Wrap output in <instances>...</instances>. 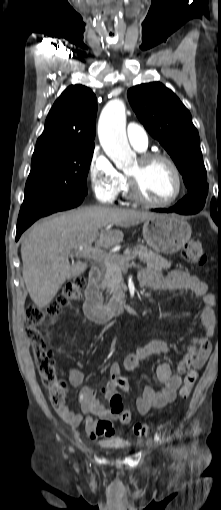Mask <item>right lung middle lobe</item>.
<instances>
[{
    "label": "right lung middle lobe",
    "instance_id": "obj_1",
    "mask_svg": "<svg viewBox=\"0 0 221 510\" xmlns=\"http://www.w3.org/2000/svg\"><path fill=\"white\" fill-rule=\"evenodd\" d=\"M94 146L32 157L22 206L45 211L87 194V175Z\"/></svg>",
    "mask_w": 221,
    "mask_h": 510
}]
</instances>
